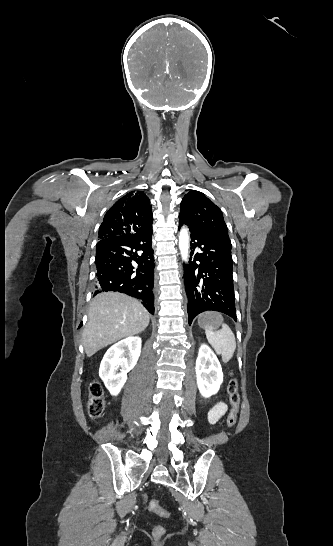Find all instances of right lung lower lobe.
<instances>
[{
	"mask_svg": "<svg viewBox=\"0 0 333 546\" xmlns=\"http://www.w3.org/2000/svg\"><path fill=\"white\" fill-rule=\"evenodd\" d=\"M152 228L133 236L101 239L96 245L97 285L94 295L118 291L137 298L154 313Z\"/></svg>",
	"mask_w": 333,
	"mask_h": 546,
	"instance_id": "1",
	"label": "right lung lower lobe"
}]
</instances>
